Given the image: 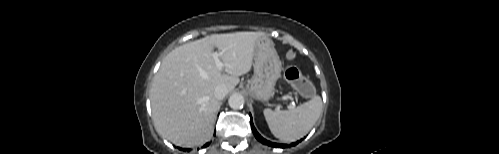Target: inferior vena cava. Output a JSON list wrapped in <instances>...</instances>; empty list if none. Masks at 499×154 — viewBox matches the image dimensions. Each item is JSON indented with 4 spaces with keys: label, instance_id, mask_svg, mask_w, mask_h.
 <instances>
[{
    "label": "inferior vena cava",
    "instance_id": "1",
    "mask_svg": "<svg viewBox=\"0 0 499 154\" xmlns=\"http://www.w3.org/2000/svg\"><path fill=\"white\" fill-rule=\"evenodd\" d=\"M228 93V89L224 85H218L215 87L214 90V96L216 99L221 100L223 99Z\"/></svg>",
    "mask_w": 499,
    "mask_h": 154
}]
</instances>
